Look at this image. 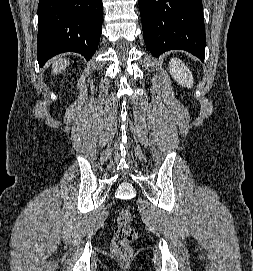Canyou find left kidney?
Returning a JSON list of instances; mask_svg holds the SVG:
<instances>
[{
    "label": "left kidney",
    "instance_id": "5707ae66",
    "mask_svg": "<svg viewBox=\"0 0 253 271\" xmlns=\"http://www.w3.org/2000/svg\"><path fill=\"white\" fill-rule=\"evenodd\" d=\"M169 72L173 79L183 87L191 88L193 76L188 67L178 58H173L169 62Z\"/></svg>",
    "mask_w": 253,
    "mask_h": 271
}]
</instances>
